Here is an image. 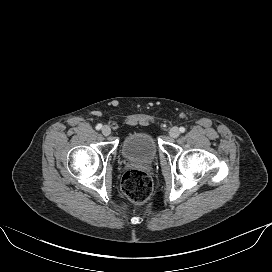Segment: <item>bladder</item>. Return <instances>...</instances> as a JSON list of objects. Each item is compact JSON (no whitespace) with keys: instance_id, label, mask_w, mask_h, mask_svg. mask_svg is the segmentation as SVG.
I'll return each instance as SVG.
<instances>
[{"instance_id":"bladder-1","label":"bladder","mask_w":272,"mask_h":272,"mask_svg":"<svg viewBox=\"0 0 272 272\" xmlns=\"http://www.w3.org/2000/svg\"><path fill=\"white\" fill-rule=\"evenodd\" d=\"M158 151L156 139L147 131L130 133L121 144L122 156L130 161L151 162L157 157Z\"/></svg>"}]
</instances>
